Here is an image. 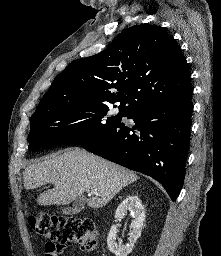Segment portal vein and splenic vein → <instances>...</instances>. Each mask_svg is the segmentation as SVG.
Masks as SVG:
<instances>
[{"label":"portal vein and splenic vein","mask_w":221,"mask_h":256,"mask_svg":"<svg viewBox=\"0 0 221 256\" xmlns=\"http://www.w3.org/2000/svg\"><path fill=\"white\" fill-rule=\"evenodd\" d=\"M90 194H91V195H97L98 193H97L96 190H91V191H90Z\"/></svg>","instance_id":"18ae733b"}]
</instances>
